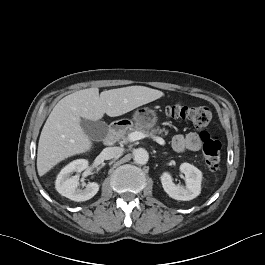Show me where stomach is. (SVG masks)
<instances>
[{"instance_id":"0dacf381","label":"stomach","mask_w":265,"mask_h":265,"mask_svg":"<svg viewBox=\"0 0 265 265\" xmlns=\"http://www.w3.org/2000/svg\"><path fill=\"white\" fill-rule=\"evenodd\" d=\"M133 121H125L127 124H134L144 129H150L156 125V112L150 108L137 109L133 114Z\"/></svg>"}]
</instances>
